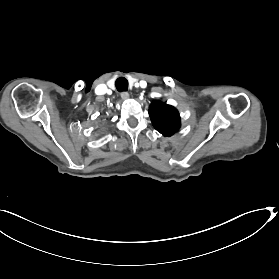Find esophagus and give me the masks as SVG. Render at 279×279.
I'll list each match as a JSON object with an SVG mask.
<instances>
[{
	"mask_svg": "<svg viewBox=\"0 0 279 279\" xmlns=\"http://www.w3.org/2000/svg\"><path fill=\"white\" fill-rule=\"evenodd\" d=\"M121 97H122L123 100H127L129 98L128 92H122Z\"/></svg>",
	"mask_w": 279,
	"mask_h": 279,
	"instance_id": "obj_1",
	"label": "esophagus"
}]
</instances>
